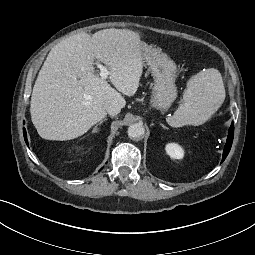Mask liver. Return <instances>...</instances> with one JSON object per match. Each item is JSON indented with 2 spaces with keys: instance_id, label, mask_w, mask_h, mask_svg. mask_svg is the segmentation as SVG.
I'll return each mask as SVG.
<instances>
[{
  "instance_id": "obj_1",
  "label": "liver",
  "mask_w": 255,
  "mask_h": 255,
  "mask_svg": "<svg viewBox=\"0 0 255 255\" xmlns=\"http://www.w3.org/2000/svg\"><path fill=\"white\" fill-rule=\"evenodd\" d=\"M110 70V82L94 74V59ZM143 72L141 39L128 29H104L66 38L49 52L33 87L31 119L47 140H70L106 116L104 103L126 104Z\"/></svg>"
}]
</instances>
